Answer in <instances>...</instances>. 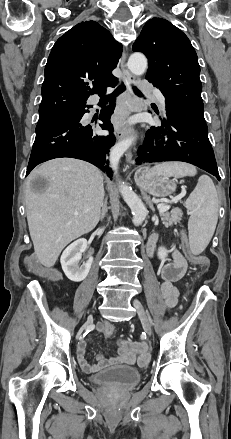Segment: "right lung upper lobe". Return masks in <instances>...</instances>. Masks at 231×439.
<instances>
[{
	"label": "right lung upper lobe",
	"instance_id": "1",
	"mask_svg": "<svg viewBox=\"0 0 231 439\" xmlns=\"http://www.w3.org/2000/svg\"><path fill=\"white\" fill-rule=\"evenodd\" d=\"M121 54L122 45L92 20L62 35L45 66L39 120L72 112L84 106L90 95L102 96L117 82L111 71Z\"/></svg>",
	"mask_w": 231,
	"mask_h": 439
}]
</instances>
